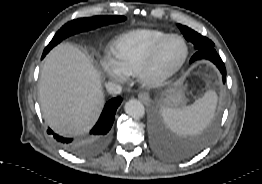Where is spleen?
<instances>
[{"instance_id":"1","label":"spleen","mask_w":262,"mask_h":184,"mask_svg":"<svg viewBox=\"0 0 262 184\" xmlns=\"http://www.w3.org/2000/svg\"><path fill=\"white\" fill-rule=\"evenodd\" d=\"M216 103L217 94L210 90L189 106L164 108L162 116L174 132L182 135H192L203 130L211 122Z\"/></svg>"}]
</instances>
